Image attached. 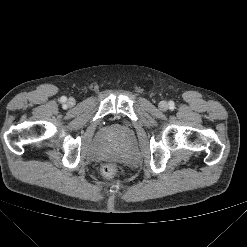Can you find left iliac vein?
<instances>
[{
    "mask_svg": "<svg viewBox=\"0 0 247 247\" xmlns=\"http://www.w3.org/2000/svg\"><path fill=\"white\" fill-rule=\"evenodd\" d=\"M159 108L162 111H166L168 109V103L166 101H161L159 103Z\"/></svg>",
    "mask_w": 247,
    "mask_h": 247,
    "instance_id": "4c4485c4",
    "label": "left iliac vein"
}]
</instances>
